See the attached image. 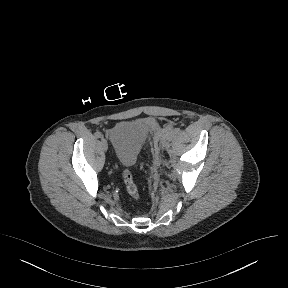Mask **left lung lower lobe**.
<instances>
[{
    "label": "left lung lower lobe",
    "instance_id": "left-lung-lower-lobe-1",
    "mask_svg": "<svg viewBox=\"0 0 288 288\" xmlns=\"http://www.w3.org/2000/svg\"><path fill=\"white\" fill-rule=\"evenodd\" d=\"M261 226H262L261 218H258L257 220H255L253 223L250 224L249 230L252 233H257L261 230Z\"/></svg>",
    "mask_w": 288,
    "mask_h": 288
}]
</instances>
